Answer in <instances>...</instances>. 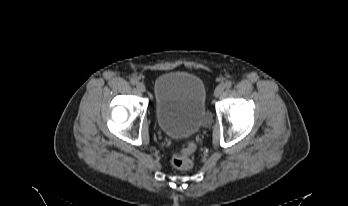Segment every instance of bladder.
<instances>
[{
    "label": "bladder",
    "instance_id": "1",
    "mask_svg": "<svg viewBox=\"0 0 348 206\" xmlns=\"http://www.w3.org/2000/svg\"><path fill=\"white\" fill-rule=\"evenodd\" d=\"M155 116L159 129L171 139L196 136L207 127L206 88L197 76L166 72L154 81Z\"/></svg>",
    "mask_w": 348,
    "mask_h": 206
}]
</instances>
